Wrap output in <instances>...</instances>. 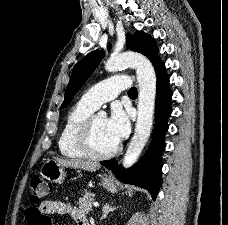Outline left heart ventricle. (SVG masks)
Masks as SVG:
<instances>
[{"instance_id":"left-heart-ventricle-1","label":"left heart ventricle","mask_w":228,"mask_h":225,"mask_svg":"<svg viewBox=\"0 0 228 225\" xmlns=\"http://www.w3.org/2000/svg\"><path fill=\"white\" fill-rule=\"evenodd\" d=\"M93 136L97 147L101 150L113 148L117 142L107 132V119L103 116H95L93 122Z\"/></svg>"}]
</instances>
